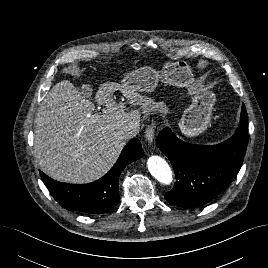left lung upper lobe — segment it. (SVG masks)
Here are the masks:
<instances>
[{
	"mask_svg": "<svg viewBox=\"0 0 268 268\" xmlns=\"http://www.w3.org/2000/svg\"><path fill=\"white\" fill-rule=\"evenodd\" d=\"M241 117H245V118H247V115H243V116H242V113H241Z\"/></svg>",
	"mask_w": 268,
	"mask_h": 268,
	"instance_id": "5c2ea615",
	"label": "left lung upper lobe"
}]
</instances>
